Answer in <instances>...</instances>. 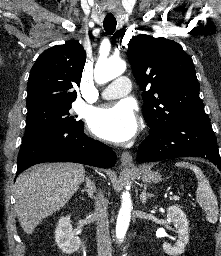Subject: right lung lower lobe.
Wrapping results in <instances>:
<instances>
[{"label":"right lung lower lobe","mask_w":221,"mask_h":256,"mask_svg":"<svg viewBox=\"0 0 221 256\" xmlns=\"http://www.w3.org/2000/svg\"><path fill=\"white\" fill-rule=\"evenodd\" d=\"M17 160L18 175L44 162H75L110 168L116 162V154L107 145L88 137L82 125L50 129L22 142Z\"/></svg>","instance_id":"right-lung-lower-lobe-1"}]
</instances>
